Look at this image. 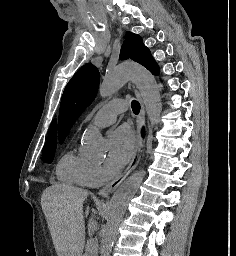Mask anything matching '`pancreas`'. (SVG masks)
Here are the masks:
<instances>
[{"instance_id": "pancreas-1", "label": "pancreas", "mask_w": 236, "mask_h": 256, "mask_svg": "<svg viewBox=\"0 0 236 256\" xmlns=\"http://www.w3.org/2000/svg\"><path fill=\"white\" fill-rule=\"evenodd\" d=\"M97 219H92L89 220V226H90V236H92V234H97L98 230H97V226H91V224H97ZM87 242H85V247H87L88 250H90V253H93V250L96 249V240L95 238H87L86 240Z\"/></svg>"}]
</instances>
